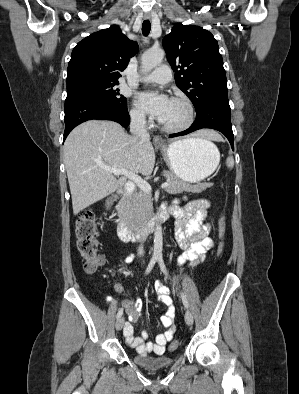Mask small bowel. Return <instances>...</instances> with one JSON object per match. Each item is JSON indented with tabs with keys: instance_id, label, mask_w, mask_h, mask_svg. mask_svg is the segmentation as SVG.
<instances>
[{
	"instance_id": "obj_1",
	"label": "small bowel",
	"mask_w": 299,
	"mask_h": 394,
	"mask_svg": "<svg viewBox=\"0 0 299 394\" xmlns=\"http://www.w3.org/2000/svg\"><path fill=\"white\" fill-rule=\"evenodd\" d=\"M209 207L210 202L208 200L199 199L184 206L175 203L169 208L171 214L176 218V241L183 250L178 259L180 264L189 262L192 265H197L204 260L207 252L214 247V242L209 237L210 225L205 221ZM132 258V256H128L126 262H131ZM115 288L119 293L125 292L120 284H116ZM156 293L167 310L160 317V323L165 331L157 335L154 341H147L148 333L146 331H142L141 336H134L133 324L141 317L142 302L140 298L135 297L122 301L128 316V322L124 327V336L127 343L139 355L162 354L166 344L172 340L175 332L176 308L173 304L170 289L158 281L156 283ZM108 299L112 300V298Z\"/></svg>"
}]
</instances>
